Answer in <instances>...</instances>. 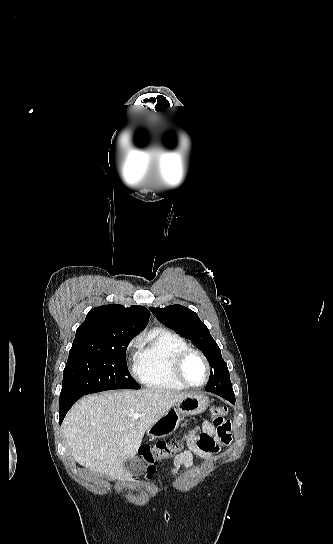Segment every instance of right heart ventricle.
I'll use <instances>...</instances> for the list:
<instances>
[{
	"label": "right heart ventricle",
	"mask_w": 333,
	"mask_h": 544,
	"mask_svg": "<svg viewBox=\"0 0 333 544\" xmlns=\"http://www.w3.org/2000/svg\"><path fill=\"white\" fill-rule=\"evenodd\" d=\"M189 348L180 335L168 330H152L139 340V350L135 362V374L146 387L160 390H182L173 375L172 365L175 356Z\"/></svg>",
	"instance_id": "1"
}]
</instances>
